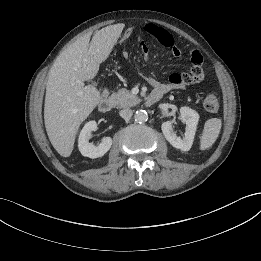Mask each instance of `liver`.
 <instances>
[{
	"label": "liver",
	"mask_w": 261,
	"mask_h": 261,
	"mask_svg": "<svg viewBox=\"0 0 261 261\" xmlns=\"http://www.w3.org/2000/svg\"><path fill=\"white\" fill-rule=\"evenodd\" d=\"M124 25H110L83 36L60 53L52 65L44 104V123L55 150L69 157L81 123L100 102V92L84 81L93 79L111 53Z\"/></svg>",
	"instance_id": "6515ba94"
}]
</instances>
